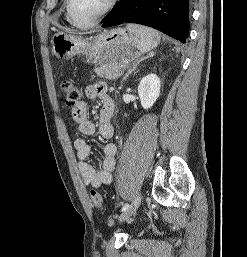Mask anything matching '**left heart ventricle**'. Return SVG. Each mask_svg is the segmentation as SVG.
I'll return each mask as SVG.
<instances>
[{
    "label": "left heart ventricle",
    "instance_id": "b2bd125f",
    "mask_svg": "<svg viewBox=\"0 0 247 257\" xmlns=\"http://www.w3.org/2000/svg\"><path fill=\"white\" fill-rule=\"evenodd\" d=\"M109 0H71L73 18L79 23L94 20L106 7Z\"/></svg>",
    "mask_w": 247,
    "mask_h": 257
}]
</instances>
